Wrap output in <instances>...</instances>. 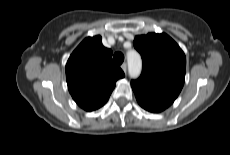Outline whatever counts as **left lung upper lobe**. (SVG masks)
Returning <instances> with one entry per match:
<instances>
[{
	"label": "left lung upper lobe",
	"mask_w": 230,
	"mask_h": 155,
	"mask_svg": "<svg viewBox=\"0 0 230 155\" xmlns=\"http://www.w3.org/2000/svg\"><path fill=\"white\" fill-rule=\"evenodd\" d=\"M134 47L143 61L141 76L131 81L136 99L169 107L184 85V52L165 33L136 36Z\"/></svg>",
	"instance_id": "left-lung-upper-lobe-1"
}]
</instances>
